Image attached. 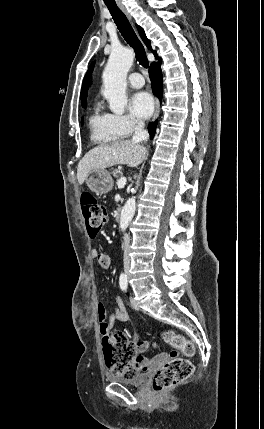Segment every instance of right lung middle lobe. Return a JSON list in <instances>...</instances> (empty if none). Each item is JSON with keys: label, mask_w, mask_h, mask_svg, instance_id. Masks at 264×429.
Wrapping results in <instances>:
<instances>
[{"label": "right lung middle lobe", "mask_w": 264, "mask_h": 429, "mask_svg": "<svg viewBox=\"0 0 264 429\" xmlns=\"http://www.w3.org/2000/svg\"><path fill=\"white\" fill-rule=\"evenodd\" d=\"M86 106H87V105H83L82 107H83V108H86ZM82 121H83V119H82Z\"/></svg>", "instance_id": "dd1d6c3e"}]
</instances>
